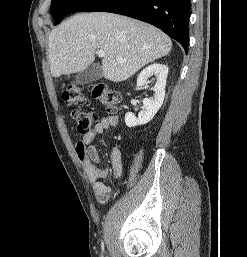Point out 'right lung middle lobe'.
<instances>
[{
	"label": "right lung middle lobe",
	"mask_w": 247,
	"mask_h": 257,
	"mask_svg": "<svg viewBox=\"0 0 247 257\" xmlns=\"http://www.w3.org/2000/svg\"><path fill=\"white\" fill-rule=\"evenodd\" d=\"M91 1L92 0H52L51 13L55 25L59 24L66 15L81 9Z\"/></svg>",
	"instance_id": "right-lung-middle-lobe-1"
}]
</instances>
